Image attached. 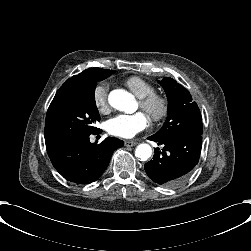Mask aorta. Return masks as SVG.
<instances>
[{"label": "aorta", "mask_w": 251, "mask_h": 251, "mask_svg": "<svg viewBox=\"0 0 251 251\" xmlns=\"http://www.w3.org/2000/svg\"><path fill=\"white\" fill-rule=\"evenodd\" d=\"M110 104L118 111L124 113L134 112V97L122 90H115L109 96ZM152 155V148L147 143H140L135 148V156L143 161L149 159Z\"/></svg>", "instance_id": "obj_1"}]
</instances>
